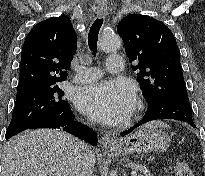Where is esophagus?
<instances>
[{
    "label": "esophagus",
    "instance_id": "obj_1",
    "mask_svg": "<svg viewBox=\"0 0 205 176\" xmlns=\"http://www.w3.org/2000/svg\"><path fill=\"white\" fill-rule=\"evenodd\" d=\"M107 14V8L106 7H101L97 10V15L99 17H103ZM101 144L105 148L109 147H115L117 145V142L113 135L111 134H104L101 138Z\"/></svg>",
    "mask_w": 205,
    "mask_h": 176
}]
</instances>
